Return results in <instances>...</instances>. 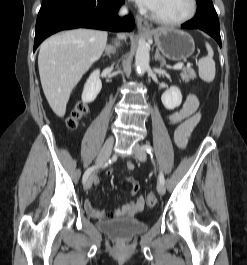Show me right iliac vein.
Returning <instances> with one entry per match:
<instances>
[{
	"label": "right iliac vein",
	"instance_id": "right-iliac-vein-1",
	"mask_svg": "<svg viewBox=\"0 0 247 265\" xmlns=\"http://www.w3.org/2000/svg\"><path fill=\"white\" fill-rule=\"evenodd\" d=\"M114 143V138L113 136H110L104 143L98 157L96 160V165H101L103 164L111 155L112 147ZM93 173L88 177L87 181L84 184L85 190H89L92 186L93 182Z\"/></svg>",
	"mask_w": 247,
	"mask_h": 265
}]
</instances>
